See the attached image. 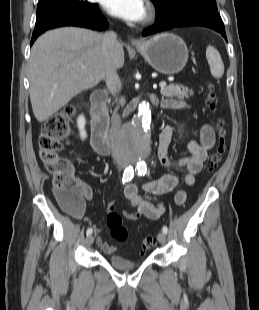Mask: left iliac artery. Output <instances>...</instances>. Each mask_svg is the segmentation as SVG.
<instances>
[{
    "label": "left iliac artery",
    "instance_id": "44dca946",
    "mask_svg": "<svg viewBox=\"0 0 259 310\" xmlns=\"http://www.w3.org/2000/svg\"><path fill=\"white\" fill-rule=\"evenodd\" d=\"M137 172L139 175H145L147 172V166L144 161L137 163ZM162 232L167 234L168 228L167 226L162 227Z\"/></svg>",
    "mask_w": 259,
    "mask_h": 310
}]
</instances>
